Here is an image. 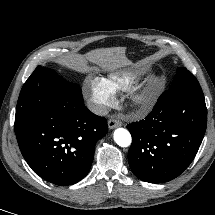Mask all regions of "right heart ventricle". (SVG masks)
<instances>
[{
	"instance_id": "right-heart-ventricle-1",
	"label": "right heart ventricle",
	"mask_w": 215,
	"mask_h": 215,
	"mask_svg": "<svg viewBox=\"0 0 215 215\" xmlns=\"http://www.w3.org/2000/svg\"><path fill=\"white\" fill-rule=\"evenodd\" d=\"M102 79L113 93L127 90L134 82L133 77L127 73L109 74Z\"/></svg>"
}]
</instances>
